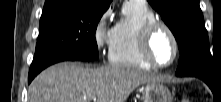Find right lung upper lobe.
<instances>
[{"instance_id": "cb5924a9", "label": "right lung upper lobe", "mask_w": 221, "mask_h": 102, "mask_svg": "<svg viewBox=\"0 0 221 102\" xmlns=\"http://www.w3.org/2000/svg\"><path fill=\"white\" fill-rule=\"evenodd\" d=\"M112 0H45L43 10L73 6L77 3H84L89 7L107 8Z\"/></svg>"}]
</instances>
